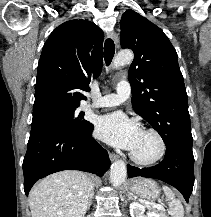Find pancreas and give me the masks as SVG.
<instances>
[{
  "mask_svg": "<svg viewBox=\"0 0 211 217\" xmlns=\"http://www.w3.org/2000/svg\"><path fill=\"white\" fill-rule=\"evenodd\" d=\"M154 212L157 213V214L159 215V217H167V216L165 215V213L162 212V211H160V210H155Z\"/></svg>",
  "mask_w": 211,
  "mask_h": 217,
  "instance_id": "pancreas-1",
  "label": "pancreas"
}]
</instances>
